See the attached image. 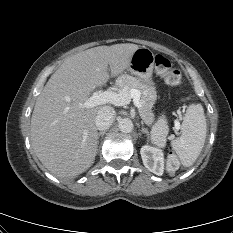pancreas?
I'll return each mask as SVG.
<instances>
[{
    "label": "pancreas",
    "mask_w": 233,
    "mask_h": 233,
    "mask_svg": "<svg viewBox=\"0 0 233 233\" xmlns=\"http://www.w3.org/2000/svg\"><path fill=\"white\" fill-rule=\"evenodd\" d=\"M125 87H127L128 90L137 89L140 91V115L148 126H152L151 132L154 142L163 146L167 135V128L164 124L153 125L155 118L152 109L156 100L155 91L143 84L137 78L126 74L121 75L117 80V88L119 92Z\"/></svg>",
    "instance_id": "cf45deb5"
}]
</instances>
